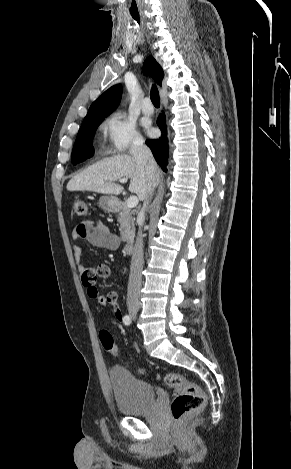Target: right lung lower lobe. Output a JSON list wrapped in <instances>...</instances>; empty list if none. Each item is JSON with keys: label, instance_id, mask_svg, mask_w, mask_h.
Segmentation results:
<instances>
[{"label": "right lung lower lobe", "instance_id": "98d812e1", "mask_svg": "<svg viewBox=\"0 0 291 469\" xmlns=\"http://www.w3.org/2000/svg\"><path fill=\"white\" fill-rule=\"evenodd\" d=\"M159 128L163 131L166 130L165 114L164 112L159 115L157 119ZM146 145L152 150L153 156L161 168L166 172L167 158H168V141L166 135H162L157 140H147Z\"/></svg>", "mask_w": 291, "mask_h": 469}]
</instances>
